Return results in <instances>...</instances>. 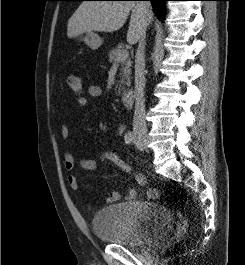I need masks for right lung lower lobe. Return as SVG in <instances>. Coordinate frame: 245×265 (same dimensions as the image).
Returning a JSON list of instances; mask_svg holds the SVG:
<instances>
[{"label": "right lung lower lobe", "instance_id": "right-lung-lower-lobe-1", "mask_svg": "<svg viewBox=\"0 0 245 265\" xmlns=\"http://www.w3.org/2000/svg\"><path fill=\"white\" fill-rule=\"evenodd\" d=\"M127 1H137V0H127ZM147 1H151L154 12L156 13V16L159 19H162V15L165 12L164 3L165 1H168V0H147Z\"/></svg>", "mask_w": 245, "mask_h": 265}]
</instances>
